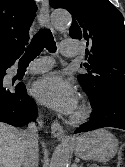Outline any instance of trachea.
I'll return each mask as SVG.
<instances>
[{
  "mask_svg": "<svg viewBox=\"0 0 125 167\" xmlns=\"http://www.w3.org/2000/svg\"><path fill=\"white\" fill-rule=\"evenodd\" d=\"M44 48L49 52H56L54 37L51 31L47 28L40 29L39 32L36 33L26 52L19 60V64L28 65L42 52Z\"/></svg>",
  "mask_w": 125,
  "mask_h": 167,
  "instance_id": "1",
  "label": "trachea"
}]
</instances>
